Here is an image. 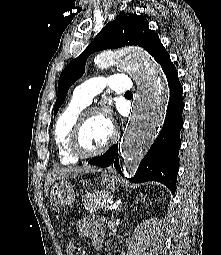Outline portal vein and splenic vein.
Wrapping results in <instances>:
<instances>
[{"mask_svg": "<svg viewBox=\"0 0 221 255\" xmlns=\"http://www.w3.org/2000/svg\"><path fill=\"white\" fill-rule=\"evenodd\" d=\"M106 203H110V206H108L109 210H113V209H115L117 207V205L113 204V202H111L109 199H107Z\"/></svg>", "mask_w": 221, "mask_h": 255, "instance_id": "portal-vein-and-splenic-vein-1", "label": "portal vein and splenic vein"}]
</instances>
